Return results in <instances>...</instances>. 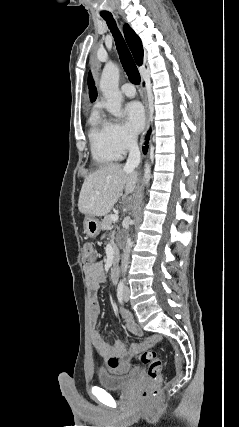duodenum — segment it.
Instances as JSON below:
<instances>
[{
  "instance_id": "1",
  "label": "duodenum",
  "mask_w": 239,
  "mask_h": 427,
  "mask_svg": "<svg viewBox=\"0 0 239 427\" xmlns=\"http://www.w3.org/2000/svg\"><path fill=\"white\" fill-rule=\"evenodd\" d=\"M120 275V267L117 259H115L111 266V278L113 281H117Z\"/></svg>"
}]
</instances>
